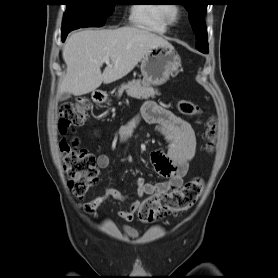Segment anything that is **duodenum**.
Listing matches in <instances>:
<instances>
[{"label": "duodenum", "instance_id": "1", "mask_svg": "<svg viewBox=\"0 0 278 278\" xmlns=\"http://www.w3.org/2000/svg\"><path fill=\"white\" fill-rule=\"evenodd\" d=\"M106 98V94L103 91L97 90L93 93V100L96 103H102Z\"/></svg>", "mask_w": 278, "mask_h": 278}]
</instances>
